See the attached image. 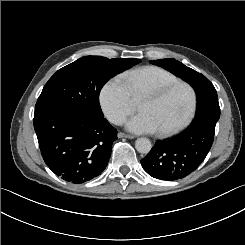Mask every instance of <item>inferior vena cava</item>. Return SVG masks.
<instances>
[{"label": "inferior vena cava", "instance_id": "inferior-vena-cava-1", "mask_svg": "<svg viewBox=\"0 0 245 245\" xmlns=\"http://www.w3.org/2000/svg\"><path fill=\"white\" fill-rule=\"evenodd\" d=\"M126 121V117L124 115H117L115 118V125H122L124 124Z\"/></svg>", "mask_w": 245, "mask_h": 245}]
</instances>
